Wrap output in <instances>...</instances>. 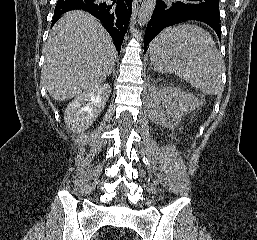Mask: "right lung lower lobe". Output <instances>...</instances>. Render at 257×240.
<instances>
[{
  "label": "right lung lower lobe",
  "mask_w": 257,
  "mask_h": 240,
  "mask_svg": "<svg viewBox=\"0 0 257 240\" xmlns=\"http://www.w3.org/2000/svg\"><path fill=\"white\" fill-rule=\"evenodd\" d=\"M81 9L99 19L120 53L132 12V0H58L52 26L67 11Z\"/></svg>",
  "instance_id": "1"
}]
</instances>
